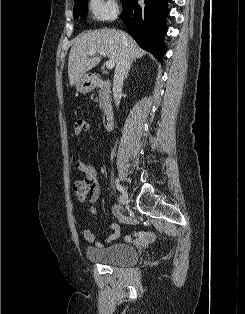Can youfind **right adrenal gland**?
I'll return each instance as SVG.
<instances>
[{
    "instance_id": "right-adrenal-gland-1",
    "label": "right adrenal gland",
    "mask_w": 245,
    "mask_h": 314,
    "mask_svg": "<svg viewBox=\"0 0 245 314\" xmlns=\"http://www.w3.org/2000/svg\"><path fill=\"white\" fill-rule=\"evenodd\" d=\"M131 66H132V62L129 64V66H128V68H127V71H126V73H125L124 80L127 79L128 75H129V71H130V69H131Z\"/></svg>"
}]
</instances>
